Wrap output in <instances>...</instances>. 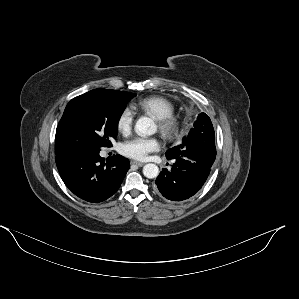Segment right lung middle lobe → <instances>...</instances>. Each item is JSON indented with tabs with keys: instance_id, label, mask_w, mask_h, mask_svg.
Masks as SVG:
<instances>
[{
	"instance_id": "right-lung-middle-lobe-1",
	"label": "right lung middle lobe",
	"mask_w": 299,
	"mask_h": 299,
	"mask_svg": "<svg viewBox=\"0 0 299 299\" xmlns=\"http://www.w3.org/2000/svg\"><path fill=\"white\" fill-rule=\"evenodd\" d=\"M134 96L131 92L112 90L73 98L56 129V154L111 147L120 116Z\"/></svg>"
}]
</instances>
